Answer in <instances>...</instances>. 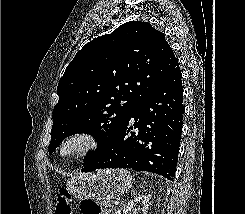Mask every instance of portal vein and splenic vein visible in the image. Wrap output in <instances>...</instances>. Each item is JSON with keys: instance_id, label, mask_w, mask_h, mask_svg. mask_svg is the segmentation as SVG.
<instances>
[{"instance_id": "obj_1", "label": "portal vein and splenic vein", "mask_w": 245, "mask_h": 214, "mask_svg": "<svg viewBox=\"0 0 245 214\" xmlns=\"http://www.w3.org/2000/svg\"><path fill=\"white\" fill-rule=\"evenodd\" d=\"M114 204H115V205H119V201L116 200V201L114 202Z\"/></svg>"}]
</instances>
